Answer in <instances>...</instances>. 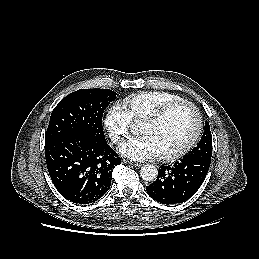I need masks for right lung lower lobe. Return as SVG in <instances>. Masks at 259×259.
<instances>
[{"instance_id":"right-lung-lower-lobe-1","label":"right lung lower lobe","mask_w":259,"mask_h":259,"mask_svg":"<svg viewBox=\"0 0 259 259\" xmlns=\"http://www.w3.org/2000/svg\"><path fill=\"white\" fill-rule=\"evenodd\" d=\"M47 168L59 193L78 204L101 198L110 188L112 172L121 163L106 140L68 135L45 145Z\"/></svg>"}]
</instances>
